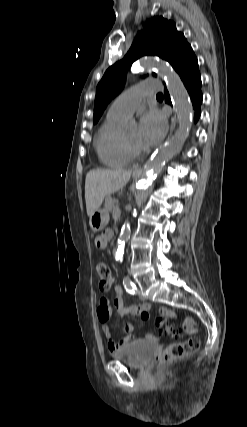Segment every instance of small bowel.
I'll use <instances>...</instances> for the list:
<instances>
[{"mask_svg":"<svg viewBox=\"0 0 247 427\" xmlns=\"http://www.w3.org/2000/svg\"><path fill=\"white\" fill-rule=\"evenodd\" d=\"M113 237L112 230H106L104 231L100 236L96 239V245L98 248H105L107 243L111 240ZM114 292H115V298L113 300V306L116 310V312L120 316H135L138 315L140 318L144 321H147L151 318L150 313V305L147 303H143L140 305L130 304L125 305L123 302V289L121 286L116 285L114 286ZM112 313V307L110 305V302L107 298L103 297L100 299L99 307L97 309V317L101 323L102 332L107 339V346L108 349L111 352H115L123 348L129 341H131L134 338L133 335V323L128 322L124 326V338L120 341H116L112 337L111 329L108 325L109 317ZM176 314L174 311L167 309V308H161L159 311V317L156 320V324L158 327H161L167 318H175ZM149 340L155 339L153 335H147L146 337Z\"/></svg>","mask_w":247,"mask_h":427,"instance_id":"small-bowel-1","label":"small bowel"}]
</instances>
